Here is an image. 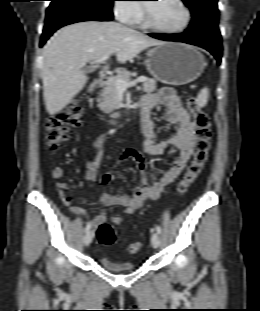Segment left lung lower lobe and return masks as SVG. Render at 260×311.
<instances>
[{
    "instance_id": "0a47b994",
    "label": "left lung lower lobe",
    "mask_w": 260,
    "mask_h": 311,
    "mask_svg": "<svg viewBox=\"0 0 260 311\" xmlns=\"http://www.w3.org/2000/svg\"><path fill=\"white\" fill-rule=\"evenodd\" d=\"M150 36L167 41L184 42L197 45L207 49L217 59L218 64L221 62L222 45L221 36H215L207 33L187 31L181 34H149Z\"/></svg>"
}]
</instances>
